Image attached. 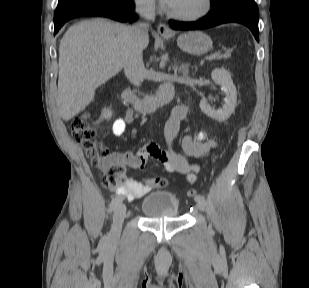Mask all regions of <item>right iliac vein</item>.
Instances as JSON below:
<instances>
[{"label": "right iliac vein", "mask_w": 309, "mask_h": 288, "mask_svg": "<svg viewBox=\"0 0 309 288\" xmlns=\"http://www.w3.org/2000/svg\"><path fill=\"white\" fill-rule=\"evenodd\" d=\"M126 217V207L123 203H119L114 211L113 224L110 233L111 240H117L120 236L122 224Z\"/></svg>", "instance_id": "1"}]
</instances>
